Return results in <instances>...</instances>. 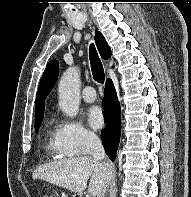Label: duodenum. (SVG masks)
<instances>
[{"label":"duodenum","mask_w":191,"mask_h":197,"mask_svg":"<svg viewBox=\"0 0 191 197\" xmlns=\"http://www.w3.org/2000/svg\"><path fill=\"white\" fill-rule=\"evenodd\" d=\"M75 197H82V196L78 194V195H76Z\"/></svg>","instance_id":"duodenum-1"}]
</instances>
